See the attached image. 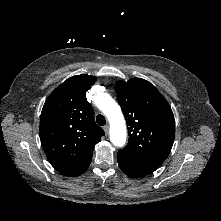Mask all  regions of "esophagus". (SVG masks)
<instances>
[{
    "label": "esophagus",
    "instance_id": "esophagus-1",
    "mask_svg": "<svg viewBox=\"0 0 221 221\" xmlns=\"http://www.w3.org/2000/svg\"><path fill=\"white\" fill-rule=\"evenodd\" d=\"M104 131H105L106 134H108V132H109V125H105L104 126Z\"/></svg>",
    "mask_w": 221,
    "mask_h": 221
}]
</instances>
